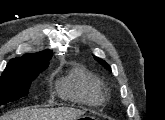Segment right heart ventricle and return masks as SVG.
I'll use <instances>...</instances> for the list:
<instances>
[{
  "instance_id": "e07e8e85",
  "label": "right heart ventricle",
  "mask_w": 165,
  "mask_h": 120,
  "mask_svg": "<svg viewBox=\"0 0 165 120\" xmlns=\"http://www.w3.org/2000/svg\"><path fill=\"white\" fill-rule=\"evenodd\" d=\"M57 89L63 98L91 105L101 103L104 98L99 81L79 66L58 82Z\"/></svg>"
}]
</instances>
